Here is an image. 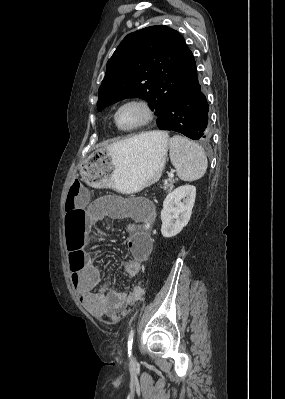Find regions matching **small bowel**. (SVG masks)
<instances>
[{"label":"small bowel","instance_id":"c3829d8e","mask_svg":"<svg viewBox=\"0 0 285 399\" xmlns=\"http://www.w3.org/2000/svg\"><path fill=\"white\" fill-rule=\"evenodd\" d=\"M78 204L80 208L86 207L88 199L81 197ZM108 215L116 218L126 217L123 198L109 196L97 205V219ZM154 223L153 219L140 213L132 223L126 226L130 253V258L122 266V272L126 278H137L141 272L142 263L150 256L152 250L150 231ZM93 226L94 223L87 225L82 222L70 225L67 219L65 231L66 233L71 231L79 243L89 246L91 243L90 231ZM70 279L81 304L89 309L96 318L107 320L108 323L118 322L121 319L119 314L126 305H133L143 300V290L136 295L135 290L124 292L112 288L90 255L85 256L84 267L74 272Z\"/></svg>","mask_w":285,"mask_h":399}]
</instances>
